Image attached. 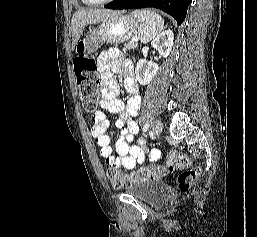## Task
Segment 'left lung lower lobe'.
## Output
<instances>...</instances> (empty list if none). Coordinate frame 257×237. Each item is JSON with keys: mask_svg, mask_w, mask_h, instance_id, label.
I'll use <instances>...</instances> for the list:
<instances>
[{"mask_svg": "<svg viewBox=\"0 0 257 237\" xmlns=\"http://www.w3.org/2000/svg\"><path fill=\"white\" fill-rule=\"evenodd\" d=\"M191 0H117L105 5L109 9H139L153 7L171 15L181 25Z\"/></svg>", "mask_w": 257, "mask_h": 237, "instance_id": "1", "label": "left lung lower lobe"}]
</instances>
